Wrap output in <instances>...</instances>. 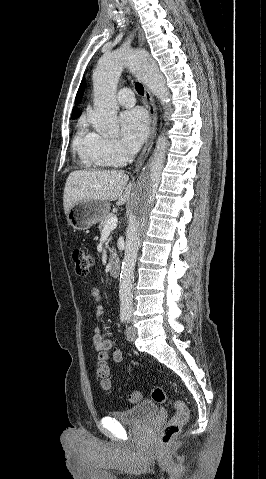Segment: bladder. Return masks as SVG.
Wrapping results in <instances>:
<instances>
[{"mask_svg": "<svg viewBox=\"0 0 266 479\" xmlns=\"http://www.w3.org/2000/svg\"><path fill=\"white\" fill-rule=\"evenodd\" d=\"M158 405L153 401L141 403L122 411H112L111 416L126 424H142L158 414Z\"/></svg>", "mask_w": 266, "mask_h": 479, "instance_id": "obj_1", "label": "bladder"}]
</instances>
